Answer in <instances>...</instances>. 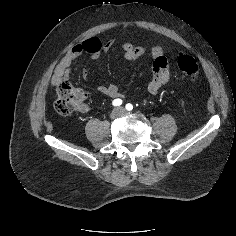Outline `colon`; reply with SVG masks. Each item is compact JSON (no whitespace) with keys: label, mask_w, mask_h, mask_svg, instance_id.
I'll use <instances>...</instances> for the list:
<instances>
[{"label":"colon","mask_w":236,"mask_h":236,"mask_svg":"<svg viewBox=\"0 0 236 236\" xmlns=\"http://www.w3.org/2000/svg\"><path fill=\"white\" fill-rule=\"evenodd\" d=\"M178 70L182 77L194 79L199 72L197 61L189 55H183L177 62ZM86 98L85 92L68 83H62L57 89V99L55 109L62 116H71L75 111L82 107Z\"/></svg>","instance_id":"colon-1"}]
</instances>
